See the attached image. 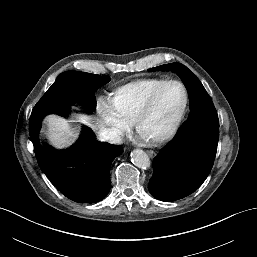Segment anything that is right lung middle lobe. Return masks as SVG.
Wrapping results in <instances>:
<instances>
[{"label": "right lung middle lobe", "mask_w": 257, "mask_h": 257, "mask_svg": "<svg viewBox=\"0 0 257 257\" xmlns=\"http://www.w3.org/2000/svg\"><path fill=\"white\" fill-rule=\"evenodd\" d=\"M107 82L109 79L96 74L72 71L62 73L35 105L29 122L30 131L37 123L39 127L43 115L54 110L79 104L93 111L94 92Z\"/></svg>", "instance_id": "1"}]
</instances>
